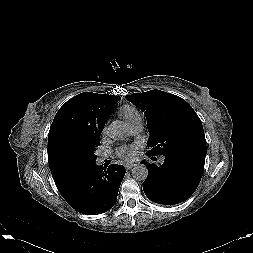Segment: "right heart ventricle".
<instances>
[{"instance_id":"obj_1","label":"right heart ventricle","mask_w":253,"mask_h":253,"mask_svg":"<svg viewBox=\"0 0 253 253\" xmlns=\"http://www.w3.org/2000/svg\"><path fill=\"white\" fill-rule=\"evenodd\" d=\"M120 115L127 124L141 119L140 113L130 105H124L120 108Z\"/></svg>"}]
</instances>
